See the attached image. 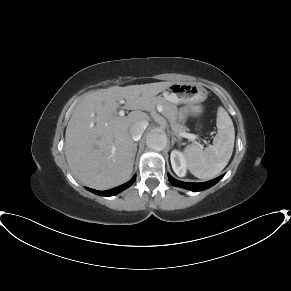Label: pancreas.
Segmentation results:
<instances>
[{
	"instance_id": "1",
	"label": "pancreas",
	"mask_w": 291,
	"mask_h": 291,
	"mask_svg": "<svg viewBox=\"0 0 291 291\" xmlns=\"http://www.w3.org/2000/svg\"><path fill=\"white\" fill-rule=\"evenodd\" d=\"M156 106H161L163 108L162 115L169 121L172 130L176 133L186 132V128L183 124L178 122L177 117V106L165 98L157 96L154 97L148 110H152Z\"/></svg>"
}]
</instances>
